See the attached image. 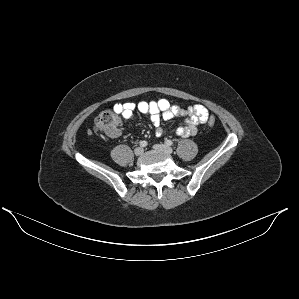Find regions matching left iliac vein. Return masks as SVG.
Returning a JSON list of instances; mask_svg holds the SVG:
<instances>
[{
  "label": "left iliac vein",
  "mask_w": 299,
  "mask_h": 299,
  "mask_svg": "<svg viewBox=\"0 0 299 299\" xmlns=\"http://www.w3.org/2000/svg\"><path fill=\"white\" fill-rule=\"evenodd\" d=\"M153 148L155 150H158V151H162V152H165L167 154H171L173 152V149L167 145H164V144H155L153 146Z\"/></svg>",
  "instance_id": "4c4485c4"
}]
</instances>
